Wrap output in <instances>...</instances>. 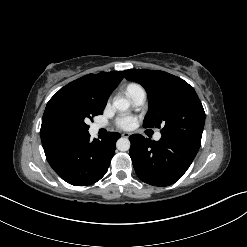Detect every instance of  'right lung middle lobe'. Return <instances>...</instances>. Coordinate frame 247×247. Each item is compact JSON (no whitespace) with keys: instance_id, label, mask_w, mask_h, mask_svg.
I'll list each match as a JSON object with an SVG mask.
<instances>
[{"instance_id":"right-lung-middle-lobe-1","label":"right lung middle lobe","mask_w":247,"mask_h":247,"mask_svg":"<svg viewBox=\"0 0 247 247\" xmlns=\"http://www.w3.org/2000/svg\"><path fill=\"white\" fill-rule=\"evenodd\" d=\"M103 110L85 100H70L55 109L51 116V124L65 137H83L88 134V120L93 121V117L102 114Z\"/></svg>"}]
</instances>
